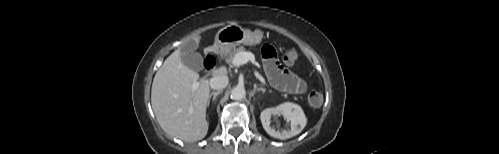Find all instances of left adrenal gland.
I'll list each match as a JSON object with an SVG mask.
<instances>
[{"label": "left adrenal gland", "mask_w": 499, "mask_h": 154, "mask_svg": "<svg viewBox=\"0 0 499 154\" xmlns=\"http://www.w3.org/2000/svg\"><path fill=\"white\" fill-rule=\"evenodd\" d=\"M253 91H254V92H256V91L260 92V91H261L262 93H265V92H266V90H265V89H263V88H256V87L254 88V90H253Z\"/></svg>", "instance_id": "obj_1"}]
</instances>
